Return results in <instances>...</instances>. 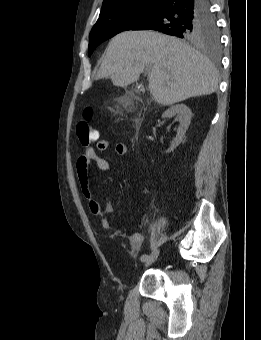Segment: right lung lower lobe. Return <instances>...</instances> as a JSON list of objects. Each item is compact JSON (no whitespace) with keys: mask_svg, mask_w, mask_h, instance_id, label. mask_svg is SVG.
<instances>
[{"mask_svg":"<svg viewBox=\"0 0 261 340\" xmlns=\"http://www.w3.org/2000/svg\"><path fill=\"white\" fill-rule=\"evenodd\" d=\"M210 13L208 0H162L131 30H155L182 38L191 19Z\"/></svg>","mask_w":261,"mask_h":340,"instance_id":"98d812e1","label":"right lung lower lobe"}]
</instances>
